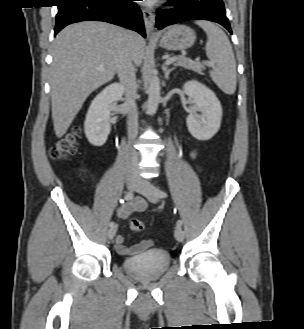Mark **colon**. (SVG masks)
Masks as SVG:
<instances>
[{"label":"colon","instance_id":"5ec220e1","mask_svg":"<svg viewBox=\"0 0 304 329\" xmlns=\"http://www.w3.org/2000/svg\"><path fill=\"white\" fill-rule=\"evenodd\" d=\"M80 134L81 128L78 126L66 133L51 149V158L54 160H65L75 154ZM129 225L133 232H143L145 230V225L138 219H132Z\"/></svg>","mask_w":304,"mask_h":329}]
</instances>
